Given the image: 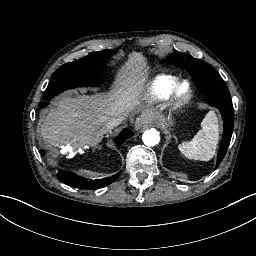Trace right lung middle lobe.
<instances>
[{"label":"right lung middle lobe","mask_w":256,"mask_h":256,"mask_svg":"<svg viewBox=\"0 0 256 256\" xmlns=\"http://www.w3.org/2000/svg\"><path fill=\"white\" fill-rule=\"evenodd\" d=\"M112 54V50L105 49L78 61L64 64L53 73L52 81L44 93V99L50 100L66 89L94 85L101 71L102 60ZM45 105L46 103L43 104Z\"/></svg>","instance_id":"dd1d6c3e"}]
</instances>
